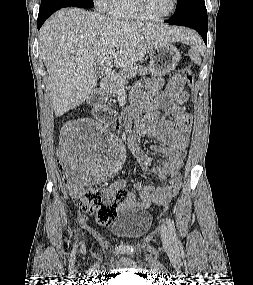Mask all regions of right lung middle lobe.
<instances>
[{"instance_id":"dd1d6c3e","label":"right lung middle lobe","mask_w":253,"mask_h":285,"mask_svg":"<svg viewBox=\"0 0 253 285\" xmlns=\"http://www.w3.org/2000/svg\"><path fill=\"white\" fill-rule=\"evenodd\" d=\"M47 6L92 8V0H42L40 8Z\"/></svg>"}]
</instances>
